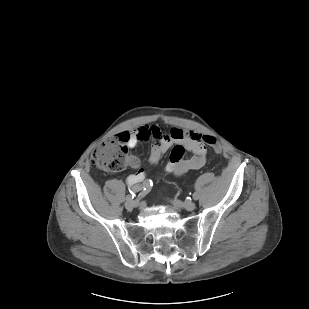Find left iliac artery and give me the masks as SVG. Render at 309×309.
<instances>
[{"instance_id":"left-iliac-artery-1","label":"left iliac artery","mask_w":309,"mask_h":309,"mask_svg":"<svg viewBox=\"0 0 309 309\" xmlns=\"http://www.w3.org/2000/svg\"><path fill=\"white\" fill-rule=\"evenodd\" d=\"M192 198H193L194 200H197V199H198V194H197V193H194V194L192 195Z\"/></svg>"}]
</instances>
